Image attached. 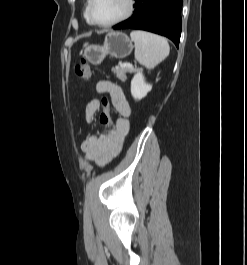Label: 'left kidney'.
Masks as SVG:
<instances>
[{
	"instance_id": "left-kidney-1",
	"label": "left kidney",
	"mask_w": 247,
	"mask_h": 265,
	"mask_svg": "<svg viewBox=\"0 0 247 265\" xmlns=\"http://www.w3.org/2000/svg\"><path fill=\"white\" fill-rule=\"evenodd\" d=\"M151 89L152 85L145 82L142 71L138 70L131 81V94L133 98L140 100L144 98Z\"/></svg>"
}]
</instances>
